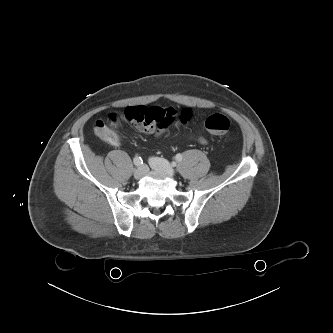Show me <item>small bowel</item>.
<instances>
[{
    "mask_svg": "<svg viewBox=\"0 0 333 333\" xmlns=\"http://www.w3.org/2000/svg\"><path fill=\"white\" fill-rule=\"evenodd\" d=\"M191 117L192 112L188 109L178 113L170 107H128L123 113V118L139 131L157 137L165 134L175 122L186 124ZM199 142L205 143V139L200 137ZM108 143L113 146L119 145V136L114 133Z\"/></svg>",
    "mask_w": 333,
    "mask_h": 333,
    "instance_id": "obj_1",
    "label": "small bowel"
}]
</instances>
